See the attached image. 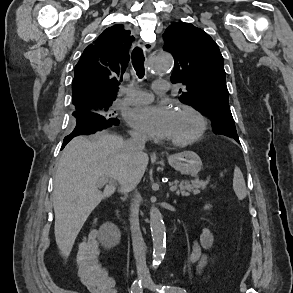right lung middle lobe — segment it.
<instances>
[{
	"label": "right lung middle lobe",
	"instance_id": "dd1d6c3e",
	"mask_svg": "<svg viewBox=\"0 0 293 293\" xmlns=\"http://www.w3.org/2000/svg\"><path fill=\"white\" fill-rule=\"evenodd\" d=\"M112 101H97L94 102V107L98 114H101L107 118H113L115 111L112 109Z\"/></svg>",
	"mask_w": 293,
	"mask_h": 293
}]
</instances>
